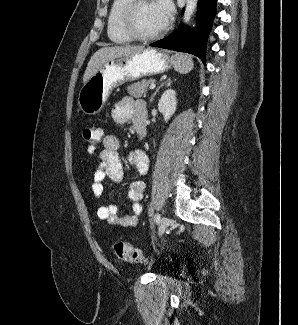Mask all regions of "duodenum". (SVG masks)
<instances>
[{"mask_svg":"<svg viewBox=\"0 0 298 325\" xmlns=\"http://www.w3.org/2000/svg\"><path fill=\"white\" fill-rule=\"evenodd\" d=\"M147 106L143 101L138 102L133 109V125L139 135L146 134Z\"/></svg>","mask_w":298,"mask_h":325,"instance_id":"410a0bca","label":"duodenum"}]
</instances>
